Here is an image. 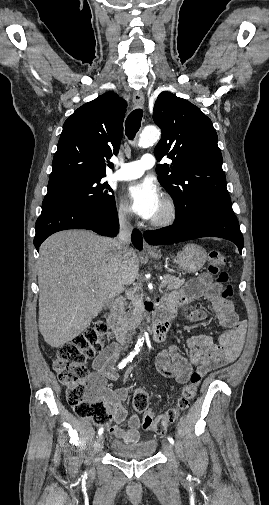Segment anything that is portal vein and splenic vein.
Listing matches in <instances>:
<instances>
[{
    "label": "portal vein and splenic vein",
    "instance_id": "18ae733b",
    "mask_svg": "<svg viewBox=\"0 0 269 505\" xmlns=\"http://www.w3.org/2000/svg\"><path fill=\"white\" fill-rule=\"evenodd\" d=\"M160 286H161V287H165L163 282L161 283V285H160Z\"/></svg>",
    "mask_w": 269,
    "mask_h": 505
}]
</instances>
